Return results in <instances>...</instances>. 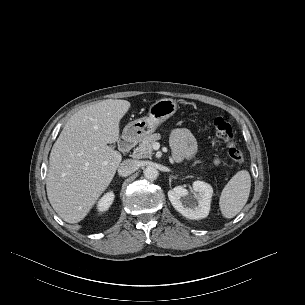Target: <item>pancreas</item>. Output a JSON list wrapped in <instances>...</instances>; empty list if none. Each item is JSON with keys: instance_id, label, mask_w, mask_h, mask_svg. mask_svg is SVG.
Here are the masks:
<instances>
[{"instance_id": "cf45deb5", "label": "pancreas", "mask_w": 305, "mask_h": 305, "mask_svg": "<svg viewBox=\"0 0 305 305\" xmlns=\"http://www.w3.org/2000/svg\"><path fill=\"white\" fill-rule=\"evenodd\" d=\"M161 138L159 133L151 134L142 140L139 146L134 149L133 156L135 158H150L153 154V143Z\"/></svg>"}]
</instances>
